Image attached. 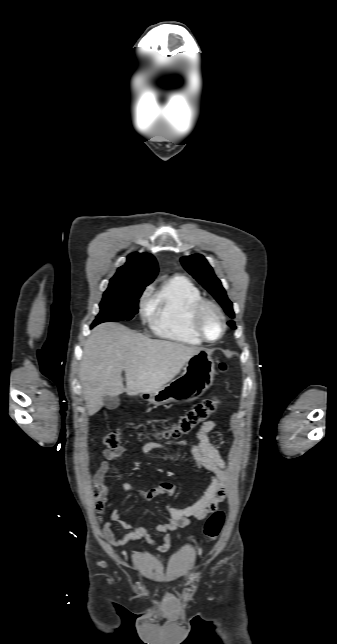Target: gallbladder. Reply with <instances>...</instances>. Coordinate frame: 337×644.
Wrapping results in <instances>:
<instances>
[{"label": "gallbladder", "mask_w": 337, "mask_h": 644, "mask_svg": "<svg viewBox=\"0 0 337 644\" xmlns=\"http://www.w3.org/2000/svg\"><path fill=\"white\" fill-rule=\"evenodd\" d=\"M104 405L108 410H114L120 405V400L118 397H111L105 395L103 397Z\"/></svg>", "instance_id": "bac80fb5"}]
</instances>
